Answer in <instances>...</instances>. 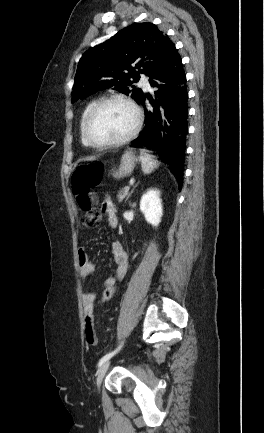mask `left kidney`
<instances>
[{
	"mask_svg": "<svg viewBox=\"0 0 264 433\" xmlns=\"http://www.w3.org/2000/svg\"><path fill=\"white\" fill-rule=\"evenodd\" d=\"M140 210L152 226H158L163 215L162 200L158 189H149L140 200Z\"/></svg>",
	"mask_w": 264,
	"mask_h": 433,
	"instance_id": "left-kidney-1",
	"label": "left kidney"
}]
</instances>
